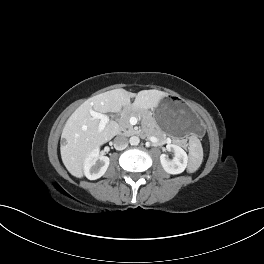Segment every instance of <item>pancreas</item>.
Listing matches in <instances>:
<instances>
[{
    "instance_id": "cf45deb5",
    "label": "pancreas",
    "mask_w": 264,
    "mask_h": 264,
    "mask_svg": "<svg viewBox=\"0 0 264 264\" xmlns=\"http://www.w3.org/2000/svg\"><path fill=\"white\" fill-rule=\"evenodd\" d=\"M132 116H137V117L139 116L136 109H134V108L125 109L124 112L122 113L120 120H119L120 130L123 131V133L126 135L134 134L136 132L134 127L129 122V119ZM149 123H150L149 124V130L147 133L148 136H156L159 139H164V136L161 133V131L157 128L156 123L152 120H150Z\"/></svg>"
}]
</instances>
